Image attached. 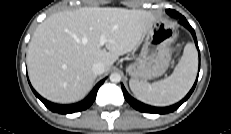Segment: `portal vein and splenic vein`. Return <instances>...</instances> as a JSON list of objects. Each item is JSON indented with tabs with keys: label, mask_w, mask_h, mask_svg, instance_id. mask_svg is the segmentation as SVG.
I'll use <instances>...</instances> for the list:
<instances>
[{
	"label": "portal vein and splenic vein",
	"mask_w": 231,
	"mask_h": 134,
	"mask_svg": "<svg viewBox=\"0 0 231 134\" xmlns=\"http://www.w3.org/2000/svg\"><path fill=\"white\" fill-rule=\"evenodd\" d=\"M106 42V38L105 36H101V39H100V44L103 46Z\"/></svg>",
	"instance_id": "18ae733b"
}]
</instances>
